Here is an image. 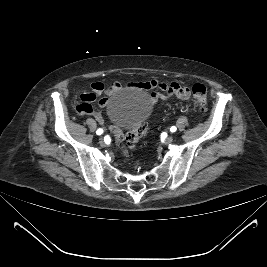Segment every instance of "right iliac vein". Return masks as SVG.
Listing matches in <instances>:
<instances>
[{
  "mask_svg": "<svg viewBox=\"0 0 267 267\" xmlns=\"http://www.w3.org/2000/svg\"><path fill=\"white\" fill-rule=\"evenodd\" d=\"M99 144L101 146H105V141H104V139L102 137L99 138Z\"/></svg>",
  "mask_w": 267,
  "mask_h": 267,
  "instance_id": "obj_1",
  "label": "right iliac vein"
}]
</instances>
